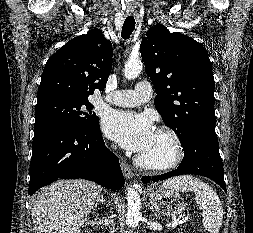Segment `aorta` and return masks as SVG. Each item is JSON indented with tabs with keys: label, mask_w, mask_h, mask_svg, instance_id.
<instances>
[{
	"label": "aorta",
	"mask_w": 253,
	"mask_h": 233,
	"mask_svg": "<svg viewBox=\"0 0 253 233\" xmlns=\"http://www.w3.org/2000/svg\"><path fill=\"white\" fill-rule=\"evenodd\" d=\"M141 62L138 59L129 60L125 64L124 75L128 80L135 79L141 72ZM141 199L136 190V185L129 188L127 192V215L126 225L135 228L141 219Z\"/></svg>",
	"instance_id": "762f6f07"
}]
</instances>
